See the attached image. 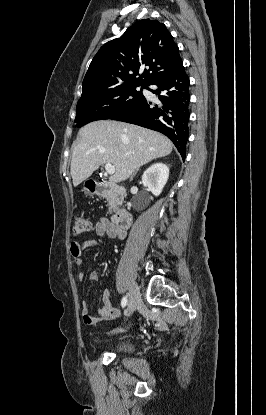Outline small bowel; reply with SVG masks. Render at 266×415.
I'll return each instance as SVG.
<instances>
[{
	"mask_svg": "<svg viewBox=\"0 0 266 415\" xmlns=\"http://www.w3.org/2000/svg\"><path fill=\"white\" fill-rule=\"evenodd\" d=\"M95 233L97 239L86 240L82 243L72 242L70 245V252L74 258V261L77 265L83 263L82 252L85 248L88 247H98L103 243V237L108 236L113 239H124L126 237V232L122 229L117 228L115 225L110 223L107 219L99 220L95 225ZM85 278V273H79V279L83 280ZM91 281L98 279L96 272H92L89 276ZM103 307L99 310L98 315L93 316L90 314L89 306L86 301L81 303V317L84 324L89 326H94L99 322L109 321L117 318L119 316V311L111 303V294L109 290H105L102 295Z\"/></svg>",
	"mask_w": 266,
	"mask_h": 415,
	"instance_id": "1",
	"label": "small bowel"
}]
</instances>
